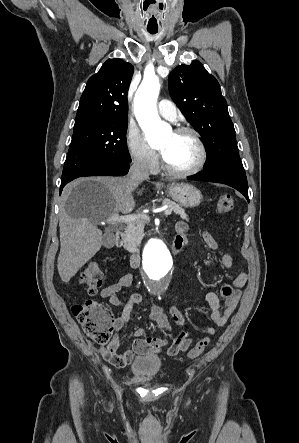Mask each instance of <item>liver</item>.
I'll use <instances>...</instances> for the list:
<instances>
[{"label": "liver", "mask_w": 299, "mask_h": 443, "mask_svg": "<svg viewBox=\"0 0 299 443\" xmlns=\"http://www.w3.org/2000/svg\"><path fill=\"white\" fill-rule=\"evenodd\" d=\"M127 177L82 178L63 191L59 215V275L67 283L103 245L97 224L118 213H130L134 198ZM143 189L137 193L141 194Z\"/></svg>", "instance_id": "liver-1"}]
</instances>
